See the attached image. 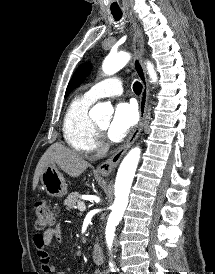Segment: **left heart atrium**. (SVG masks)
<instances>
[{
	"label": "left heart atrium",
	"mask_w": 215,
	"mask_h": 274,
	"mask_svg": "<svg viewBox=\"0 0 215 274\" xmlns=\"http://www.w3.org/2000/svg\"><path fill=\"white\" fill-rule=\"evenodd\" d=\"M138 121V112L132 103H119L108 127V136L114 142L121 141Z\"/></svg>",
	"instance_id": "obj_1"
}]
</instances>
